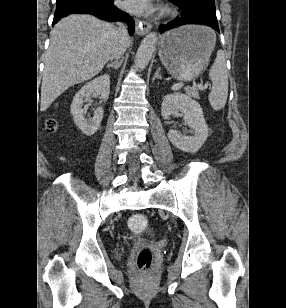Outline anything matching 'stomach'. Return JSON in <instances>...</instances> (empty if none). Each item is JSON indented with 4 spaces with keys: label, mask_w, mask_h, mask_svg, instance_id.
Instances as JSON below:
<instances>
[{
    "label": "stomach",
    "mask_w": 286,
    "mask_h": 308,
    "mask_svg": "<svg viewBox=\"0 0 286 308\" xmlns=\"http://www.w3.org/2000/svg\"><path fill=\"white\" fill-rule=\"evenodd\" d=\"M215 44L216 35L209 27L185 25L162 37L159 57L176 79L190 80L201 73Z\"/></svg>",
    "instance_id": "obj_1"
}]
</instances>
